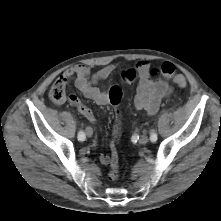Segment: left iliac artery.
Listing matches in <instances>:
<instances>
[{
    "label": "left iliac artery",
    "instance_id": "obj_1",
    "mask_svg": "<svg viewBox=\"0 0 221 221\" xmlns=\"http://www.w3.org/2000/svg\"><path fill=\"white\" fill-rule=\"evenodd\" d=\"M157 139H158L157 133L154 132V131H152V132H151V135H150V140H151V142H156Z\"/></svg>",
    "mask_w": 221,
    "mask_h": 221
}]
</instances>
